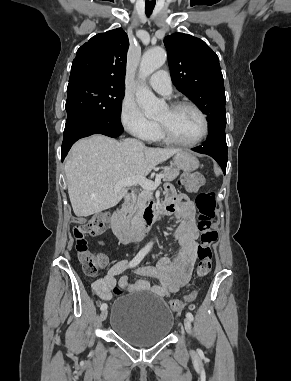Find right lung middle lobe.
I'll return each instance as SVG.
<instances>
[{"mask_svg":"<svg viewBox=\"0 0 291 381\" xmlns=\"http://www.w3.org/2000/svg\"><path fill=\"white\" fill-rule=\"evenodd\" d=\"M124 90L125 87L90 82L69 83L66 124L75 121L85 129L99 123L120 121Z\"/></svg>","mask_w":291,"mask_h":381,"instance_id":"right-lung-middle-lobe-1","label":"right lung middle lobe"}]
</instances>
